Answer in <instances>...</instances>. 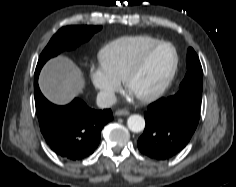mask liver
<instances>
[{"instance_id":"6515ba94","label":"liver","mask_w":236,"mask_h":187,"mask_svg":"<svg viewBox=\"0 0 236 187\" xmlns=\"http://www.w3.org/2000/svg\"><path fill=\"white\" fill-rule=\"evenodd\" d=\"M85 80L80 68L68 57L49 60L39 76V87L52 103L65 105L83 92Z\"/></svg>"}]
</instances>
